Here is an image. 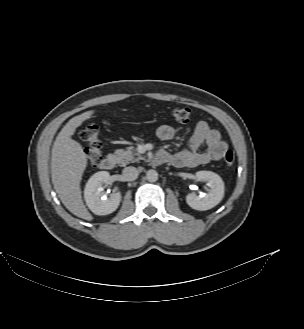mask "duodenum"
Listing matches in <instances>:
<instances>
[{
  "label": "duodenum",
  "mask_w": 304,
  "mask_h": 329,
  "mask_svg": "<svg viewBox=\"0 0 304 329\" xmlns=\"http://www.w3.org/2000/svg\"><path fill=\"white\" fill-rule=\"evenodd\" d=\"M157 161H164L165 160V154L163 152H160L156 156ZM116 164V158L112 155H108L104 157L100 163V167L103 170H111Z\"/></svg>",
  "instance_id": "1"
}]
</instances>
